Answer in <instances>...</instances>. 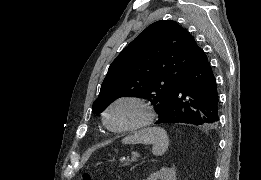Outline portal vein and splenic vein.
<instances>
[{
	"label": "portal vein and splenic vein",
	"mask_w": 261,
	"mask_h": 180,
	"mask_svg": "<svg viewBox=\"0 0 261 180\" xmlns=\"http://www.w3.org/2000/svg\"><path fill=\"white\" fill-rule=\"evenodd\" d=\"M131 161H139V154L133 153L131 156Z\"/></svg>",
	"instance_id": "18ae733b"
}]
</instances>
